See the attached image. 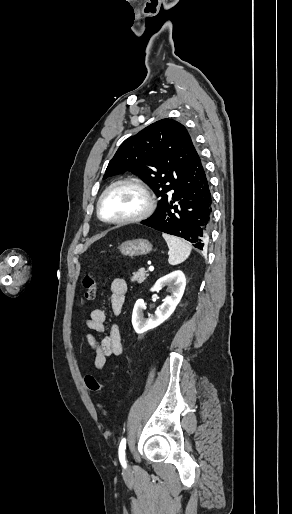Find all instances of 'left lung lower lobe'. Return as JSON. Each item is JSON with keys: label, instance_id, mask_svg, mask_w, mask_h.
<instances>
[{"label": "left lung lower lobe", "instance_id": "0a47b994", "mask_svg": "<svg viewBox=\"0 0 292 514\" xmlns=\"http://www.w3.org/2000/svg\"><path fill=\"white\" fill-rule=\"evenodd\" d=\"M212 220L209 181L194 145L189 164L167 197L159 201L155 213L141 222L156 230L182 237L203 249L208 242Z\"/></svg>", "mask_w": 292, "mask_h": 514}]
</instances>
